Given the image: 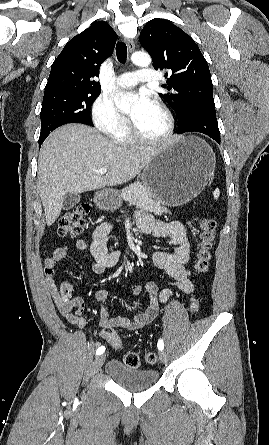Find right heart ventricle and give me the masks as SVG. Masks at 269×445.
<instances>
[{"label":"right heart ventricle","instance_id":"obj_1","mask_svg":"<svg viewBox=\"0 0 269 445\" xmlns=\"http://www.w3.org/2000/svg\"><path fill=\"white\" fill-rule=\"evenodd\" d=\"M112 136L117 142L122 144H129L133 141L129 128H126Z\"/></svg>","mask_w":269,"mask_h":445}]
</instances>
